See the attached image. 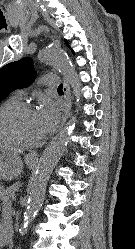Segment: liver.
<instances>
[{"mask_svg": "<svg viewBox=\"0 0 135 249\" xmlns=\"http://www.w3.org/2000/svg\"><path fill=\"white\" fill-rule=\"evenodd\" d=\"M5 149H7V150H9V151H11V152H13L15 154L22 153V150H19V149H16V148H10V147H8V148H5Z\"/></svg>", "mask_w": 135, "mask_h": 249, "instance_id": "1", "label": "liver"}]
</instances>
